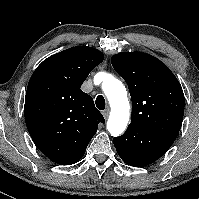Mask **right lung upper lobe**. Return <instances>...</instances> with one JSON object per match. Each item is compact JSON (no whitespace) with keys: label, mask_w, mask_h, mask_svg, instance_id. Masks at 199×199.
Returning <instances> with one entry per match:
<instances>
[{"label":"right lung upper lobe","mask_w":199,"mask_h":199,"mask_svg":"<svg viewBox=\"0 0 199 199\" xmlns=\"http://www.w3.org/2000/svg\"><path fill=\"white\" fill-rule=\"evenodd\" d=\"M104 55L76 46L44 60L32 74L25 97V122L39 150L53 162L71 165L84 155L102 114L80 87Z\"/></svg>","instance_id":"1"}]
</instances>
